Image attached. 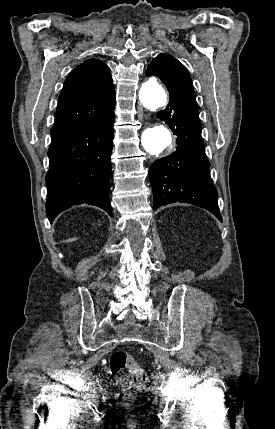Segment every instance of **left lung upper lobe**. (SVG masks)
I'll list each match as a JSON object with an SVG mask.
<instances>
[{"instance_id":"1","label":"left lung upper lobe","mask_w":275,"mask_h":429,"mask_svg":"<svg viewBox=\"0 0 275 429\" xmlns=\"http://www.w3.org/2000/svg\"><path fill=\"white\" fill-rule=\"evenodd\" d=\"M148 76H157L168 88L169 92L179 89H188L194 94L191 77L185 67L174 57L159 54L155 57L145 72Z\"/></svg>"}]
</instances>
